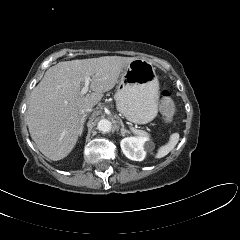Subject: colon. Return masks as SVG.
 <instances>
[{"instance_id": "1", "label": "colon", "mask_w": 240, "mask_h": 240, "mask_svg": "<svg viewBox=\"0 0 240 240\" xmlns=\"http://www.w3.org/2000/svg\"><path fill=\"white\" fill-rule=\"evenodd\" d=\"M160 110L167 120H170L175 113L174 102L170 96V93L167 90L162 92Z\"/></svg>"}]
</instances>
